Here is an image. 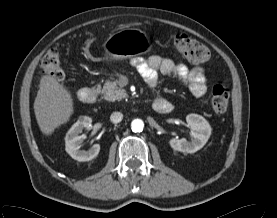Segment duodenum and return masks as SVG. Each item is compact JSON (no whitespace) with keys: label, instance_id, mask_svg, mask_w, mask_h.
Masks as SVG:
<instances>
[{"label":"duodenum","instance_id":"obj_1","mask_svg":"<svg viewBox=\"0 0 277 218\" xmlns=\"http://www.w3.org/2000/svg\"><path fill=\"white\" fill-rule=\"evenodd\" d=\"M96 94H97L96 90L85 87L79 90L78 98L83 103H91L94 100ZM170 108H171V104L167 100L161 101L160 106L158 107V109L163 113L167 112Z\"/></svg>","mask_w":277,"mask_h":218}]
</instances>
